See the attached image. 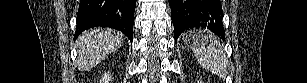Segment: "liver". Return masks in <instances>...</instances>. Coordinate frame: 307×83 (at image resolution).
<instances>
[{
	"instance_id": "1",
	"label": "liver",
	"mask_w": 307,
	"mask_h": 83,
	"mask_svg": "<svg viewBox=\"0 0 307 83\" xmlns=\"http://www.w3.org/2000/svg\"><path fill=\"white\" fill-rule=\"evenodd\" d=\"M123 34L110 29H92L83 32L77 40V66L86 71L100 63L109 53L123 44Z\"/></svg>"
}]
</instances>
